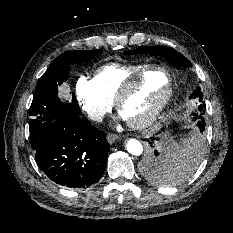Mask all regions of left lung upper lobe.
Here are the masks:
<instances>
[{
	"instance_id": "1",
	"label": "left lung upper lobe",
	"mask_w": 233,
	"mask_h": 233,
	"mask_svg": "<svg viewBox=\"0 0 233 233\" xmlns=\"http://www.w3.org/2000/svg\"><path fill=\"white\" fill-rule=\"evenodd\" d=\"M125 54H139V53H148L152 55L162 56L167 59L169 62L173 63L176 66L190 67L192 66L191 62L185 58L182 54L170 47L163 46H142L135 50L125 51ZM191 99H194L198 102V114L203 116L205 111V104L203 102V94L200 88H197L190 96Z\"/></svg>"
}]
</instances>
